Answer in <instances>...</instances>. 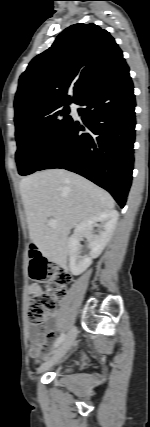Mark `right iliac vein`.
Here are the masks:
<instances>
[{"label":"right iliac vein","mask_w":150,"mask_h":427,"mask_svg":"<svg viewBox=\"0 0 150 427\" xmlns=\"http://www.w3.org/2000/svg\"><path fill=\"white\" fill-rule=\"evenodd\" d=\"M76 336H77V329L76 327H73L67 334L60 348L54 353L52 357H50L45 363H43L40 366V368L38 369V372L39 373L44 372L49 367L54 365L58 360H60L70 349V347L72 346V344L76 339Z\"/></svg>","instance_id":"1"}]
</instances>
